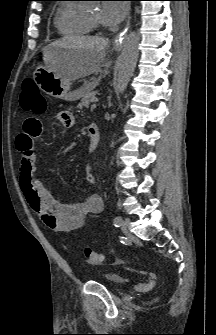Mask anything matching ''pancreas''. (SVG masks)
<instances>
[{"label":"pancreas","mask_w":216,"mask_h":335,"mask_svg":"<svg viewBox=\"0 0 216 335\" xmlns=\"http://www.w3.org/2000/svg\"><path fill=\"white\" fill-rule=\"evenodd\" d=\"M97 91H92L90 85L83 87V96L81 102L77 105L78 108H88L91 102L96 100Z\"/></svg>","instance_id":"1"}]
</instances>
